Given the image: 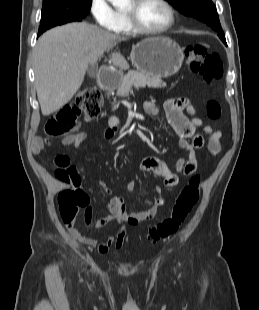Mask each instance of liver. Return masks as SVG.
I'll use <instances>...</instances> for the list:
<instances>
[{
  "instance_id": "liver-1",
  "label": "liver",
  "mask_w": 259,
  "mask_h": 310,
  "mask_svg": "<svg viewBox=\"0 0 259 310\" xmlns=\"http://www.w3.org/2000/svg\"><path fill=\"white\" fill-rule=\"evenodd\" d=\"M122 37L88 23H72L44 33L34 49L35 85L41 112L48 116L67 104L83 83L88 67ZM113 65L129 67L119 53Z\"/></svg>"
}]
</instances>
